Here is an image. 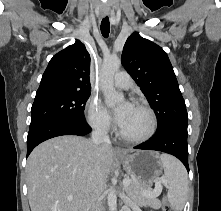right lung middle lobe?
Here are the masks:
<instances>
[{"label":"right lung middle lobe","mask_w":221,"mask_h":211,"mask_svg":"<svg viewBox=\"0 0 221 211\" xmlns=\"http://www.w3.org/2000/svg\"><path fill=\"white\" fill-rule=\"evenodd\" d=\"M89 96L90 91L37 92L31 108L30 126L54 119L85 122L84 106Z\"/></svg>","instance_id":"dd1d6c3e"}]
</instances>
